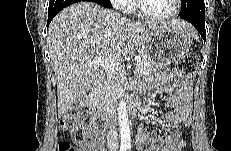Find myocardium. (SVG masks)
Here are the masks:
<instances>
[{"instance_id":"myocardium-1","label":"myocardium","mask_w":231,"mask_h":151,"mask_svg":"<svg viewBox=\"0 0 231 151\" xmlns=\"http://www.w3.org/2000/svg\"><path fill=\"white\" fill-rule=\"evenodd\" d=\"M181 2V0H174L172 11L165 15H151L146 13L142 8V3L140 0L134 1V9L136 14L144 20L152 22H163L173 18L178 13Z\"/></svg>"}]
</instances>
